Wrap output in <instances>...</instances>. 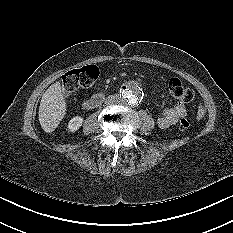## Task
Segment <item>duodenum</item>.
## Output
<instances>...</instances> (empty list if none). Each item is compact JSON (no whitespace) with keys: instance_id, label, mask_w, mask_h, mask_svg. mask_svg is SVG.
<instances>
[{"instance_id":"duodenum-1","label":"duodenum","mask_w":233,"mask_h":233,"mask_svg":"<svg viewBox=\"0 0 233 233\" xmlns=\"http://www.w3.org/2000/svg\"><path fill=\"white\" fill-rule=\"evenodd\" d=\"M104 100V95L101 93L94 94L89 99L84 102V107L86 109H92L99 106Z\"/></svg>"}]
</instances>
